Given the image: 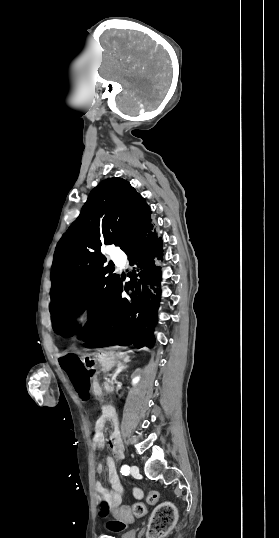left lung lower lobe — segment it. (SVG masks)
<instances>
[{"instance_id":"0a47b994","label":"left lung lower lobe","mask_w":279,"mask_h":538,"mask_svg":"<svg viewBox=\"0 0 279 538\" xmlns=\"http://www.w3.org/2000/svg\"><path fill=\"white\" fill-rule=\"evenodd\" d=\"M163 241L158 237L154 226L148 227L141 238L130 246L125 253L130 261L137 263L139 274L131 276L125 284V291L134 290L130 299H122L123 284L120 283L114 296L115 307L106 322L91 336L79 338L85 341L84 346L98 348L111 345H134L137 348L154 345L153 328L157 323V309L161 295L158 286L161 281V267L158 260H162ZM139 276V278H136ZM151 289L156 293L153 294ZM74 332L64 335L71 336Z\"/></svg>"}]
</instances>
